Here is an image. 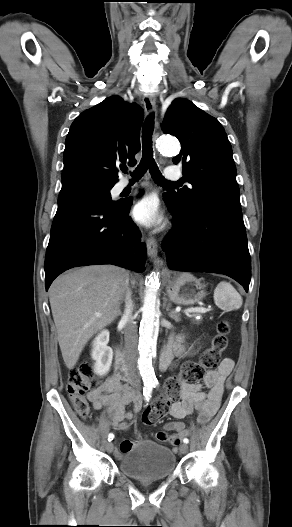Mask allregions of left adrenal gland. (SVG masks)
Listing matches in <instances>:
<instances>
[{"instance_id":"a2214340","label":"left adrenal gland","mask_w":292,"mask_h":527,"mask_svg":"<svg viewBox=\"0 0 292 527\" xmlns=\"http://www.w3.org/2000/svg\"><path fill=\"white\" fill-rule=\"evenodd\" d=\"M170 306H171V304L169 303L168 306H167V308H166L167 311H169ZM179 316H180V315L177 314V313L174 312V311L169 312V317H171L172 319H174V321H176V322H179V321H180V317H179Z\"/></svg>"}]
</instances>
